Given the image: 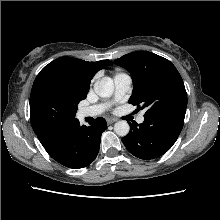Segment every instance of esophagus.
<instances>
[{
  "instance_id": "obj_1",
  "label": "esophagus",
  "mask_w": 220,
  "mask_h": 220,
  "mask_svg": "<svg viewBox=\"0 0 220 220\" xmlns=\"http://www.w3.org/2000/svg\"><path fill=\"white\" fill-rule=\"evenodd\" d=\"M116 121H117L116 119H111V118L107 119V123L109 125L115 123Z\"/></svg>"
}]
</instances>
